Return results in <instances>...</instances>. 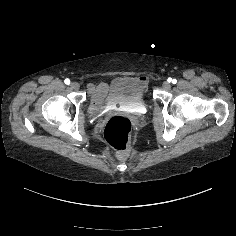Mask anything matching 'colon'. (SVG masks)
<instances>
[{
  "label": "colon",
  "mask_w": 236,
  "mask_h": 236,
  "mask_svg": "<svg viewBox=\"0 0 236 236\" xmlns=\"http://www.w3.org/2000/svg\"><path fill=\"white\" fill-rule=\"evenodd\" d=\"M131 134L132 122L123 115L111 117L104 128L105 140L116 150L120 159L129 155Z\"/></svg>",
  "instance_id": "obj_1"
}]
</instances>
